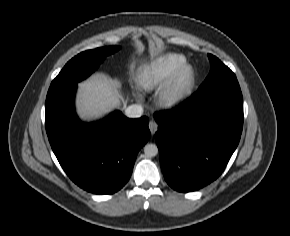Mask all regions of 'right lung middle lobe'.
I'll return each instance as SVG.
<instances>
[{
	"label": "right lung middle lobe",
	"mask_w": 290,
	"mask_h": 236,
	"mask_svg": "<svg viewBox=\"0 0 290 236\" xmlns=\"http://www.w3.org/2000/svg\"><path fill=\"white\" fill-rule=\"evenodd\" d=\"M118 50V46H110L78 54L67 62L58 76L52 81L51 86L77 83L85 79L99 67L106 56Z\"/></svg>",
	"instance_id": "dd1d6c3e"
}]
</instances>
